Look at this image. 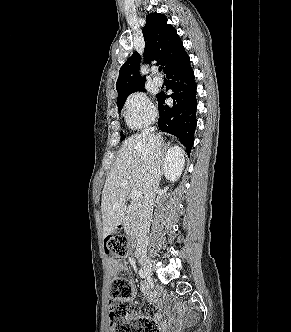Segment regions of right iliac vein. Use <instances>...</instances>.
Returning <instances> with one entry per match:
<instances>
[{"label": "right iliac vein", "instance_id": "right-iliac-vein-1", "mask_svg": "<svg viewBox=\"0 0 291 332\" xmlns=\"http://www.w3.org/2000/svg\"><path fill=\"white\" fill-rule=\"evenodd\" d=\"M139 262L144 270V272L151 276L153 273V266L149 258L147 257H139Z\"/></svg>", "mask_w": 291, "mask_h": 332}]
</instances>
